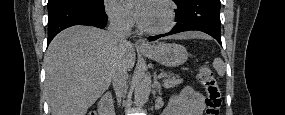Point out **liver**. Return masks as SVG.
Here are the masks:
<instances>
[{"label":"liver","instance_id":"1","mask_svg":"<svg viewBox=\"0 0 285 115\" xmlns=\"http://www.w3.org/2000/svg\"><path fill=\"white\" fill-rule=\"evenodd\" d=\"M204 37L185 32L177 39ZM121 57L127 71L134 67L136 54L128 42L123 52L108 32L91 26H73L60 32L44 57L45 90L51 115H85L90 106L109 88L112 71Z\"/></svg>","mask_w":285,"mask_h":115}]
</instances>
